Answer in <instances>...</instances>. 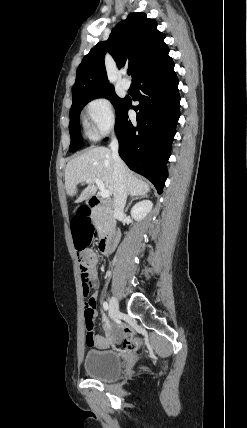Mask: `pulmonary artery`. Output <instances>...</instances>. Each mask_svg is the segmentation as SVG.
Masks as SVG:
<instances>
[{
	"instance_id": "e3ab8cb5",
	"label": "pulmonary artery",
	"mask_w": 247,
	"mask_h": 428,
	"mask_svg": "<svg viewBox=\"0 0 247 428\" xmlns=\"http://www.w3.org/2000/svg\"><path fill=\"white\" fill-rule=\"evenodd\" d=\"M121 86L123 89L127 90L130 88V82L127 79L121 81Z\"/></svg>"
}]
</instances>
